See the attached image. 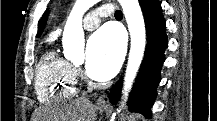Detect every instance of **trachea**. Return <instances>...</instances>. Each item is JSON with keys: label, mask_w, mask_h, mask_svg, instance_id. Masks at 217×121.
Masks as SVG:
<instances>
[{"label": "trachea", "mask_w": 217, "mask_h": 121, "mask_svg": "<svg viewBox=\"0 0 217 121\" xmlns=\"http://www.w3.org/2000/svg\"><path fill=\"white\" fill-rule=\"evenodd\" d=\"M115 17H122V11L116 10L115 11Z\"/></svg>", "instance_id": "obj_1"}]
</instances>
